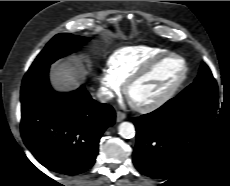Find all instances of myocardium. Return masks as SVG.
<instances>
[{
    "label": "myocardium",
    "instance_id": "1",
    "mask_svg": "<svg viewBox=\"0 0 230 186\" xmlns=\"http://www.w3.org/2000/svg\"><path fill=\"white\" fill-rule=\"evenodd\" d=\"M176 58L179 59L183 64V71L181 75L176 79L175 82L172 83V85L158 98L142 104H136L133 103V106L141 111V112H152L164 104H166L173 96L174 94L179 90V88L182 86V84L185 82L188 73H189V67L187 61L180 55L172 52H166L161 55H158L157 57L150 60L146 65H144L141 69H139L137 72L132 74L125 82L124 91L126 96L130 99V91L134 84L145 78L148 74H150L154 68L160 64L162 61H164L167 58Z\"/></svg>",
    "mask_w": 230,
    "mask_h": 186
}]
</instances>
